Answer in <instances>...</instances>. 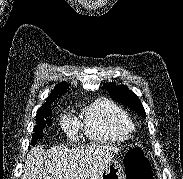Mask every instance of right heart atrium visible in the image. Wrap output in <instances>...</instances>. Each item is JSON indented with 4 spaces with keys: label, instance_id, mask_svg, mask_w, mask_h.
<instances>
[{
    "label": "right heart atrium",
    "instance_id": "d8ad5b80",
    "mask_svg": "<svg viewBox=\"0 0 183 179\" xmlns=\"http://www.w3.org/2000/svg\"><path fill=\"white\" fill-rule=\"evenodd\" d=\"M62 125L65 131H67L69 134H74L76 131V125L73 120L70 118L64 117L62 120Z\"/></svg>",
    "mask_w": 183,
    "mask_h": 179
}]
</instances>
